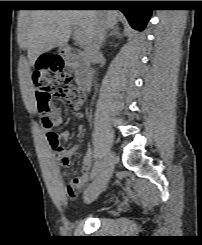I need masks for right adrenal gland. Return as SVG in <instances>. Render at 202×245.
<instances>
[{
  "instance_id": "2a0ac1e0",
  "label": "right adrenal gland",
  "mask_w": 202,
  "mask_h": 245,
  "mask_svg": "<svg viewBox=\"0 0 202 245\" xmlns=\"http://www.w3.org/2000/svg\"><path fill=\"white\" fill-rule=\"evenodd\" d=\"M110 36H114V37H116V38H120L122 35H121V33H120L118 27L112 28L111 31H110V33L106 36V38H105V40H104V42H103V44H102L103 47L105 46L106 41H107V39H108Z\"/></svg>"
}]
</instances>
